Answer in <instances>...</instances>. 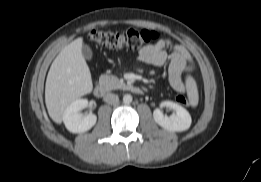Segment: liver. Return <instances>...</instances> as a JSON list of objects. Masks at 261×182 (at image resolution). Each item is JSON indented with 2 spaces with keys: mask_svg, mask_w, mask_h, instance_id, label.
<instances>
[{
  "mask_svg": "<svg viewBox=\"0 0 261 182\" xmlns=\"http://www.w3.org/2000/svg\"><path fill=\"white\" fill-rule=\"evenodd\" d=\"M83 38L65 46L54 59L45 85V103L51 119L60 124L65 109L93 89L91 73L82 55Z\"/></svg>",
  "mask_w": 261,
  "mask_h": 182,
  "instance_id": "1",
  "label": "liver"
}]
</instances>
